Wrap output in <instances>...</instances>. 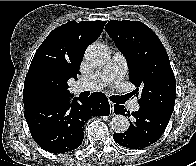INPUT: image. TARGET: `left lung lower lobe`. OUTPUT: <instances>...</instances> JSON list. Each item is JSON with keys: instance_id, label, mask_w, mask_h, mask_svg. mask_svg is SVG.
<instances>
[{"instance_id": "0a47b994", "label": "left lung lower lobe", "mask_w": 196, "mask_h": 166, "mask_svg": "<svg viewBox=\"0 0 196 166\" xmlns=\"http://www.w3.org/2000/svg\"><path fill=\"white\" fill-rule=\"evenodd\" d=\"M116 114L126 113L123 105H114ZM126 115L129 117L130 112ZM170 113L160 109L140 106L138 111L132 112L133 121L124 133H115L116 143L130 149H142L157 141L164 132L170 118Z\"/></svg>"}]
</instances>
